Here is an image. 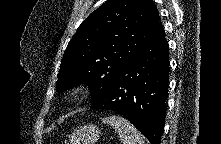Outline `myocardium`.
I'll return each instance as SVG.
<instances>
[{
  "label": "myocardium",
  "mask_w": 221,
  "mask_h": 144,
  "mask_svg": "<svg viewBox=\"0 0 221 144\" xmlns=\"http://www.w3.org/2000/svg\"><path fill=\"white\" fill-rule=\"evenodd\" d=\"M87 91L88 85L85 83H79L68 89L67 97L70 100H77L84 96L87 93Z\"/></svg>",
  "instance_id": "1"
}]
</instances>
